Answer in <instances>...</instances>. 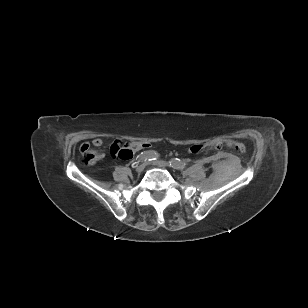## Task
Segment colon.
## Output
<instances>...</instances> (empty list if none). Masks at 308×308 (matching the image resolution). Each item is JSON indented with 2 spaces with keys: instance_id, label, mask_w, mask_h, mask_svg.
Segmentation results:
<instances>
[{
  "instance_id": "5ec220e1",
  "label": "colon",
  "mask_w": 308,
  "mask_h": 308,
  "mask_svg": "<svg viewBox=\"0 0 308 308\" xmlns=\"http://www.w3.org/2000/svg\"><path fill=\"white\" fill-rule=\"evenodd\" d=\"M223 146L233 148L241 153H245V146L239 142L233 140L214 139L203 144H196L189 148L191 153H199L207 149H219ZM151 145L149 143H131L127 141L123 146L116 147L111 146V153L114 157L122 160L130 159L137 150H149ZM81 160L86 165L95 164L101 157V155L92 150L88 144H83L80 149Z\"/></svg>"
}]
</instances>
